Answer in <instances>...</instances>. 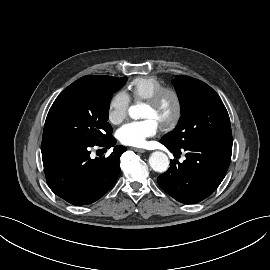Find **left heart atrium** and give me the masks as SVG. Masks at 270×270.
I'll list each match as a JSON object with an SVG mask.
<instances>
[{
  "instance_id": "39dd6f15",
  "label": "left heart atrium",
  "mask_w": 270,
  "mask_h": 270,
  "mask_svg": "<svg viewBox=\"0 0 270 270\" xmlns=\"http://www.w3.org/2000/svg\"><path fill=\"white\" fill-rule=\"evenodd\" d=\"M159 129L160 125L154 118H146L124 124L117 136L122 144L140 147L146 143L147 138L156 135Z\"/></svg>"
}]
</instances>
